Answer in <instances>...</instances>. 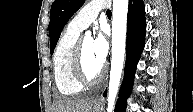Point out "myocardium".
Here are the masks:
<instances>
[{
	"mask_svg": "<svg viewBox=\"0 0 193 112\" xmlns=\"http://www.w3.org/2000/svg\"><path fill=\"white\" fill-rule=\"evenodd\" d=\"M82 41L83 39L78 40L74 49L73 59H72L73 75L76 81L82 86H93L95 84H98L105 77L106 66L103 65L101 71L95 77H90L87 75L83 65Z\"/></svg>",
	"mask_w": 193,
	"mask_h": 112,
	"instance_id": "1",
	"label": "myocardium"
}]
</instances>
